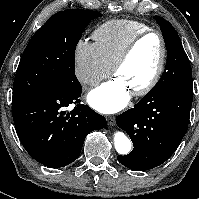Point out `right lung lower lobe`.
Masks as SVG:
<instances>
[{
	"label": "right lung lower lobe",
	"mask_w": 199,
	"mask_h": 199,
	"mask_svg": "<svg viewBox=\"0 0 199 199\" xmlns=\"http://www.w3.org/2000/svg\"><path fill=\"white\" fill-rule=\"evenodd\" d=\"M81 90L55 89L12 108L19 139L41 164L58 168L76 160L88 133L106 126V119L80 104ZM75 104L72 111L65 109Z\"/></svg>",
	"instance_id": "98d812e1"
}]
</instances>
